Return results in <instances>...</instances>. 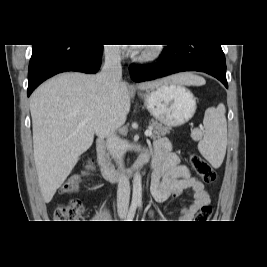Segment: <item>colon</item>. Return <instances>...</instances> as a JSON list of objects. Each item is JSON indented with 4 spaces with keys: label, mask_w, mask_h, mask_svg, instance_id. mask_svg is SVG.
Segmentation results:
<instances>
[{
    "label": "colon",
    "mask_w": 267,
    "mask_h": 267,
    "mask_svg": "<svg viewBox=\"0 0 267 267\" xmlns=\"http://www.w3.org/2000/svg\"><path fill=\"white\" fill-rule=\"evenodd\" d=\"M190 163L195 172L206 183H213L216 180V173L207 161L198 155L190 156ZM90 167V163L88 164ZM77 180L71 179L63 185V190L66 192L72 191ZM84 212V206L78 199H70L66 203L59 204L54 210V218L56 222L68 223L79 220ZM212 215V208L208 205L203 206L198 212L196 219L198 222H208Z\"/></svg>",
    "instance_id": "5ec220e1"
}]
</instances>
